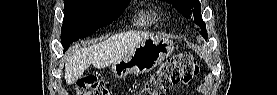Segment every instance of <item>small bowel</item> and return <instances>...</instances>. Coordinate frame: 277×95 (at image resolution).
<instances>
[{
    "label": "small bowel",
    "mask_w": 277,
    "mask_h": 95,
    "mask_svg": "<svg viewBox=\"0 0 277 95\" xmlns=\"http://www.w3.org/2000/svg\"><path fill=\"white\" fill-rule=\"evenodd\" d=\"M185 83H188V80H184Z\"/></svg>",
    "instance_id": "small-bowel-1"
}]
</instances>
